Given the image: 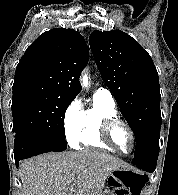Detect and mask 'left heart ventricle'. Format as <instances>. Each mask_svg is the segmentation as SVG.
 Returning <instances> with one entry per match:
<instances>
[{
	"label": "left heart ventricle",
	"mask_w": 178,
	"mask_h": 195,
	"mask_svg": "<svg viewBox=\"0 0 178 195\" xmlns=\"http://www.w3.org/2000/svg\"><path fill=\"white\" fill-rule=\"evenodd\" d=\"M112 141L116 147L123 151H129L131 149L132 146L131 136L127 129L122 125L117 126L113 130Z\"/></svg>",
	"instance_id": "1"
}]
</instances>
